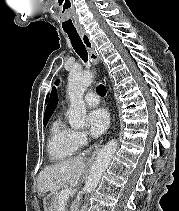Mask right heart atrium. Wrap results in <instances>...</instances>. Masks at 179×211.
<instances>
[{
	"instance_id": "d8ad5b80",
	"label": "right heart atrium",
	"mask_w": 179,
	"mask_h": 211,
	"mask_svg": "<svg viewBox=\"0 0 179 211\" xmlns=\"http://www.w3.org/2000/svg\"><path fill=\"white\" fill-rule=\"evenodd\" d=\"M73 140L77 147H81L87 143L88 138L84 132L73 130Z\"/></svg>"
}]
</instances>
